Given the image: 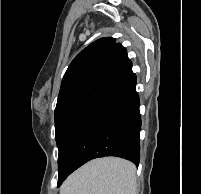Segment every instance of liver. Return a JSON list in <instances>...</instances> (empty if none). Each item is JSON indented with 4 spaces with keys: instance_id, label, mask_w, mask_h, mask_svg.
Masks as SVG:
<instances>
[{
    "instance_id": "obj_1",
    "label": "liver",
    "mask_w": 201,
    "mask_h": 194,
    "mask_svg": "<svg viewBox=\"0 0 201 194\" xmlns=\"http://www.w3.org/2000/svg\"><path fill=\"white\" fill-rule=\"evenodd\" d=\"M136 167L133 163L105 157L92 160L72 173L60 194H136Z\"/></svg>"
}]
</instances>
